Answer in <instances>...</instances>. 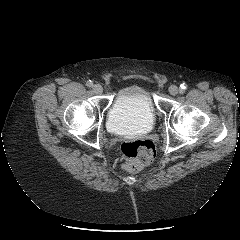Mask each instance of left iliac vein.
<instances>
[{
  "mask_svg": "<svg viewBox=\"0 0 240 240\" xmlns=\"http://www.w3.org/2000/svg\"><path fill=\"white\" fill-rule=\"evenodd\" d=\"M179 92H180V89H179L176 85H171V86L169 87V93H170L172 96H176Z\"/></svg>",
  "mask_w": 240,
  "mask_h": 240,
  "instance_id": "obj_1",
  "label": "left iliac vein"
}]
</instances>
